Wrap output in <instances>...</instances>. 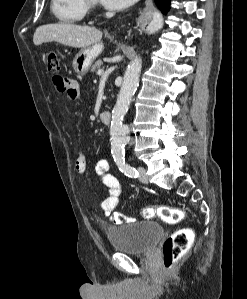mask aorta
<instances>
[{"label": "aorta", "mask_w": 247, "mask_h": 299, "mask_svg": "<svg viewBox=\"0 0 247 299\" xmlns=\"http://www.w3.org/2000/svg\"><path fill=\"white\" fill-rule=\"evenodd\" d=\"M141 68L142 60L140 57H136L130 62L125 71L116 104L112 110L110 124L111 153L115 156L124 154V147L130 140L129 128L123 123V120L137 90Z\"/></svg>", "instance_id": "aorta-1"}]
</instances>
